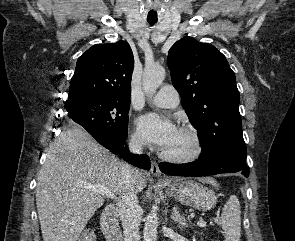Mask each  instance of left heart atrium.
<instances>
[{
	"label": "left heart atrium",
	"mask_w": 295,
	"mask_h": 241,
	"mask_svg": "<svg viewBox=\"0 0 295 241\" xmlns=\"http://www.w3.org/2000/svg\"><path fill=\"white\" fill-rule=\"evenodd\" d=\"M137 125L147 142L163 150L174 141L179 131L172 121L152 113L140 117Z\"/></svg>",
	"instance_id": "39dd6f15"
}]
</instances>
